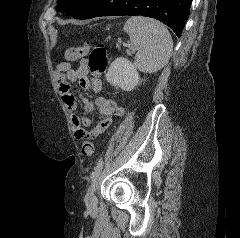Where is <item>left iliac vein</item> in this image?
Segmentation results:
<instances>
[{"instance_id":"obj_1","label":"left iliac vein","mask_w":240,"mask_h":238,"mask_svg":"<svg viewBox=\"0 0 240 238\" xmlns=\"http://www.w3.org/2000/svg\"><path fill=\"white\" fill-rule=\"evenodd\" d=\"M98 185L97 179L89 186L87 193L85 195L84 201L89 210H94L97 207V198L95 196V191Z\"/></svg>"}]
</instances>
